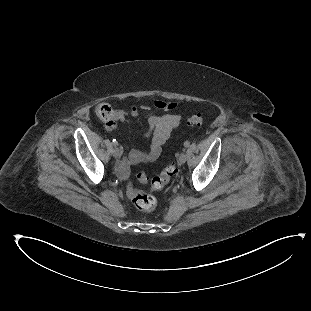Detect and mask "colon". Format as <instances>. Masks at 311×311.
I'll list each match as a JSON object with an SVG mask.
<instances>
[{
	"instance_id": "colon-1",
	"label": "colon",
	"mask_w": 311,
	"mask_h": 311,
	"mask_svg": "<svg viewBox=\"0 0 311 311\" xmlns=\"http://www.w3.org/2000/svg\"><path fill=\"white\" fill-rule=\"evenodd\" d=\"M96 116L101 120H108L112 118L116 112L109 104H98L94 108ZM187 122L189 125L195 127H201L204 124V117L201 112L194 113L188 117ZM177 172V166L175 163L170 162L161 171V173L152 179H147L146 176H141V182L149 184L152 190H162L168 182L173 178ZM124 191L126 196L132 201V203L141 211L150 212L155 209L157 200L150 194H146L139 190L136 184L132 180L124 182Z\"/></svg>"
}]
</instances>
